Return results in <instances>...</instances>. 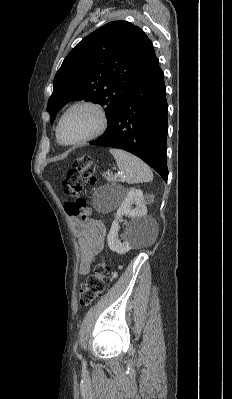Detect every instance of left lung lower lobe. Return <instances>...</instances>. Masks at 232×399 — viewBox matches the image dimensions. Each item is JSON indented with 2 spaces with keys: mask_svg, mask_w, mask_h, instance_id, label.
I'll return each mask as SVG.
<instances>
[{
  "mask_svg": "<svg viewBox=\"0 0 232 399\" xmlns=\"http://www.w3.org/2000/svg\"><path fill=\"white\" fill-rule=\"evenodd\" d=\"M167 113L164 74L151 44L110 129L90 144L128 151L167 181Z\"/></svg>",
  "mask_w": 232,
  "mask_h": 399,
  "instance_id": "left-lung-lower-lobe-1",
  "label": "left lung lower lobe"
}]
</instances>
